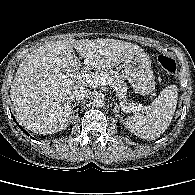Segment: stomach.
<instances>
[{"label":"stomach","instance_id":"stomach-1","mask_svg":"<svg viewBox=\"0 0 195 195\" xmlns=\"http://www.w3.org/2000/svg\"><path fill=\"white\" fill-rule=\"evenodd\" d=\"M124 76L138 94L147 95L155 89L151 60L146 53L135 55L125 61Z\"/></svg>","mask_w":195,"mask_h":195}]
</instances>
